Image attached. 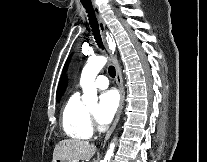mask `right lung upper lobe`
<instances>
[{
	"instance_id": "right-lung-upper-lobe-1",
	"label": "right lung upper lobe",
	"mask_w": 207,
	"mask_h": 162,
	"mask_svg": "<svg viewBox=\"0 0 207 162\" xmlns=\"http://www.w3.org/2000/svg\"><path fill=\"white\" fill-rule=\"evenodd\" d=\"M65 88H66V82H65V80H62L60 82L58 90H57V94H56L57 100L60 99V97L62 96L63 92L65 91Z\"/></svg>"
}]
</instances>
